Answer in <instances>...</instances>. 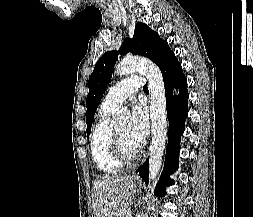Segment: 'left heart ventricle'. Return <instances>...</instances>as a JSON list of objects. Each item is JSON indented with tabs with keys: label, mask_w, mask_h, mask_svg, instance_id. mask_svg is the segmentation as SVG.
I'll return each mask as SVG.
<instances>
[{
	"label": "left heart ventricle",
	"mask_w": 253,
	"mask_h": 217,
	"mask_svg": "<svg viewBox=\"0 0 253 217\" xmlns=\"http://www.w3.org/2000/svg\"><path fill=\"white\" fill-rule=\"evenodd\" d=\"M115 130L117 132V134L119 135L124 148L128 151V152H134L135 150H137V148L139 147V145L137 143H135L131 137L129 136L128 133V125L126 123L121 124L119 126L115 127Z\"/></svg>",
	"instance_id": "left-heart-ventricle-1"
}]
</instances>
